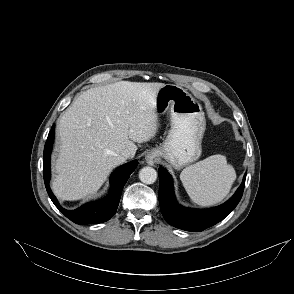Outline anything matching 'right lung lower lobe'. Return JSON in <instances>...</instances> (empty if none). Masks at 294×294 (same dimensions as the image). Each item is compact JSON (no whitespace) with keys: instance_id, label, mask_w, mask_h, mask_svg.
<instances>
[{"instance_id":"98d812e1","label":"right lung lower lobe","mask_w":294,"mask_h":294,"mask_svg":"<svg viewBox=\"0 0 294 294\" xmlns=\"http://www.w3.org/2000/svg\"><path fill=\"white\" fill-rule=\"evenodd\" d=\"M53 139L54 126H52L51 131L49 132L43 155L44 182L52 202L60 210V212H62L67 218L77 224L102 223L109 220L116 213L123 187L127 182L130 174L137 167L138 162L136 160L129 162L125 165H122L112 173L110 178L111 188L109 194L105 198L96 202L84 204L80 208L73 211L65 210L60 206L49 187L50 154L52 150Z\"/></svg>"}]
</instances>
